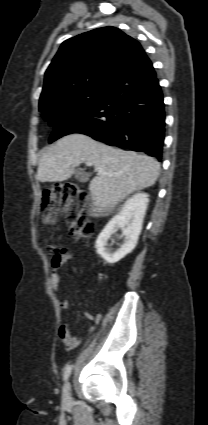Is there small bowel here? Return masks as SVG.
<instances>
[{
	"label": "small bowel",
	"instance_id": "small-bowel-1",
	"mask_svg": "<svg viewBox=\"0 0 208 425\" xmlns=\"http://www.w3.org/2000/svg\"><path fill=\"white\" fill-rule=\"evenodd\" d=\"M72 258H73V255L71 253L63 252V254L61 255L59 264L55 265L53 263L54 269L51 273L50 285L54 291L58 290L60 278H61L60 273L58 271V267H60L62 264L66 263ZM58 305L61 311H65L68 308V302L62 298L58 299ZM85 316L93 323V325L97 324L101 319V314L86 313ZM93 325L89 327V330L93 329ZM58 335L61 342L64 344V346L68 350L76 348L81 343V338L73 336L68 328V325L65 322H62L60 324L58 329Z\"/></svg>",
	"mask_w": 208,
	"mask_h": 425
}]
</instances>
